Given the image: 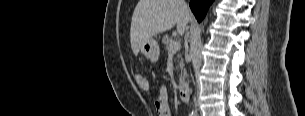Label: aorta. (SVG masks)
I'll list each match as a JSON object with an SVG mask.
<instances>
[{
  "mask_svg": "<svg viewBox=\"0 0 305 116\" xmlns=\"http://www.w3.org/2000/svg\"><path fill=\"white\" fill-rule=\"evenodd\" d=\"M202 25L203 24H200V26L197 28L196 32H195V37H194V40H193V44L196 45L197 42H198V39L200 38V35H201V32H202Z\"/></svg>",
  "mask_w": 305,
  "mask_h": 116,
  "instance_id": "1",
  "label": "aorta"
}]
</instances>
